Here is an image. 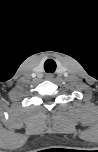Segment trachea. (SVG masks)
I'll use <instances>...</instances> for the list:
<instances>
[{
    "mask_svg": "<svg viewBox=\"0 0 98 152\" xmlns=\"http://www.w3.org/2000/svg\"><path fill=\"white\" fill-rule=\"evenodd\" d=\"M44 69L46 72L49 73H54L56 70V63L54 60L52 59H48L46 60V62L44 63Z\"/></svg>",
    "mask_w": 98,
    "mask_h": 152,
    "instance_id": "trachea-1",
    "label": "trachea"
}]
</instances>
